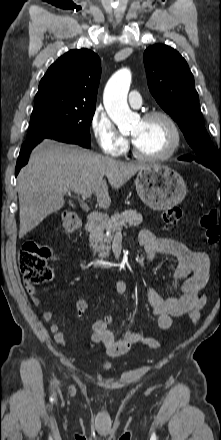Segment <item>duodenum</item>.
<instances>
[{"mask_svg": "<svg viewBox=\"0 0 221 440\" xmlns=\"http://www.w3.org/2000/svg\"><path fill=\"white\" fill-rule=\"evenodd\" d=\"M104 217L99 213H91L86 221V230L93 231L97 229L103 222Z\"/></svg>", "mask_w": 221, "mask_h": 440, "instance_id": "1", "label": "duodenum"}]
</instances>
